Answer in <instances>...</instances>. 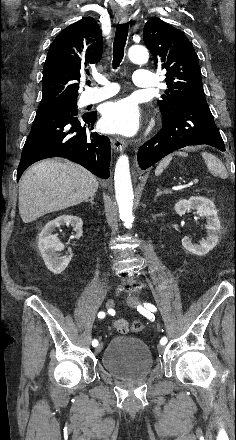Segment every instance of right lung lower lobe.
I'll return each mask as SVG.
<instances>
[{"label":"right lung lower lobe","instance_id":"obj_1","mask_svg":"<svg viewBox=\"0 0 236 440\" xmlns=\"http://www.w3.org/2000/svg\"><path fill=\"white\" fill-rule=\"evenodd\" d=\"M77 110L40 107L23 147L17 180L31 164L51 157L66 158L98 177H109L110 140L93 131L96 113L77 116Z\"/></svg>","mask_w":236,"mask_h":440}]
</instances>
